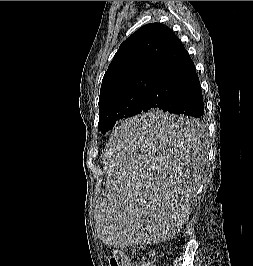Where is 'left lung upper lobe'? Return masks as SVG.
<instances>
[{
  "mask_svg": "<svg viewBox=\"0 0 253 266\" xmlns=\"http://www.w3.org/2000/svg\"><path fill=\"white\" fill-rule=\"evenodd\" d=\"M174 35L169 27L151 23L120 45L100 89L98 127L103 134L119 120L142 113L150 80Z\"/></svg>",
  "mask_w": 253,
  "mask_h": 266,
  "instance_id": "1",
  "label": "left lung upper lobe"
}]
</instances>
